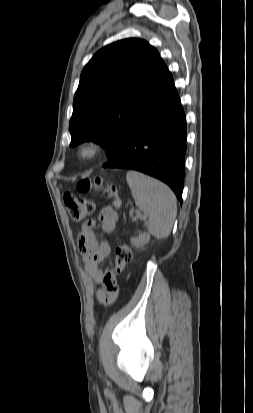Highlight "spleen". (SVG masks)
<instances>
[{
	"label": "spleen",
	"instance_id": "1",
	"mask_svg": "<svg viewBox=\"0 0 253 413\" xmlns=\"http://www.w3.org/2000/svg\"><path fill=\"white\" fill-rule=\"evenodd\" d=\"M136 205L148 216V230L157 239L169 236L177 216L176 197L162 182L130 170L126 174Z\"/></svg>",
	"mask_w": 253,
	"mask_h": 413
}]
</instances>
